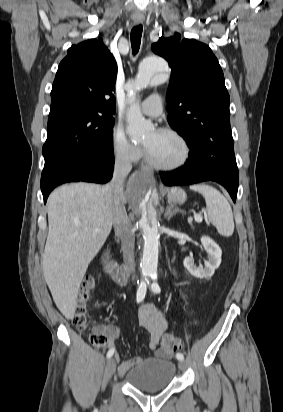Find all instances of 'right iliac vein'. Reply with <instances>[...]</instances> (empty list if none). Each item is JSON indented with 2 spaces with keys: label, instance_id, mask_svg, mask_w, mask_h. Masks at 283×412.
Segmentation results:
<instances>
[{
  "label": "right iliac vein",
  "instance_id": "obj_1",
  "mask_svg": "<svg viewBox=\"0 0 283 412\" xmlns=\"http://www.w3.org/2000/svg\"><path fill=\"white\" fill-rule=\"evenodd\" d=\"M116 370V361L114 358H110L106 364V376L107 378H111L112 375L115 373Z\"/></svg>",
  "mask_w": 283,
  "mask_h": 412
}]
</instances>
